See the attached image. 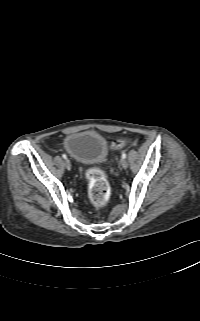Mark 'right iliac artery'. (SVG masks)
<instances>
[{"instance_id": "obj_1", "label": "right iliac artery", "mask_w": 200, "mask_h": 321, "mask_svg": "<svg viewBox=\"0 0 200 321\" xmlns=\"http://www.w3.org/2000/svg\"><path fill=\"white\" fill-rule=\"evenodd\" d=\"M62 157H63L64 159H66V158H67V156H66L65 154H63V155H62Z\"/></svg>"}]
</instances>
